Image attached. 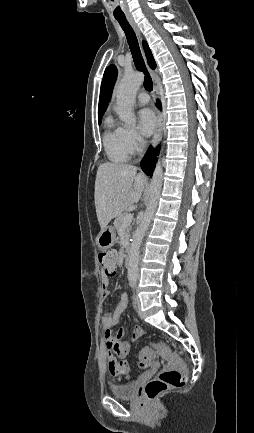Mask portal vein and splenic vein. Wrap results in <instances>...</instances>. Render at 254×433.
Here are the masks:
<instances>
[{"mask_svg":"<svg viewBox=\"0 0 254 433\" xmlns=\"http://www.w3.org/2000/svg\"><path fill=\"white\" fill-rule=\"evenodd\" d=\"M133 219V214H128L127 216H125V218L123 219V224L127 225L129 223L132 222Z\"/></svg>","mask_w":254,"mask_h":433,"instance_id":"portal-vein-and-splenic-vein-1","label":"portal vein and splenic vein"}]
</instances>
